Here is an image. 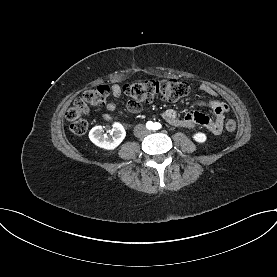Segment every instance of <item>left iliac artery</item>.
I'll list each match as a JSON object with an SVG mask.
<instances>
[{
    "label": "left iliac artery",
    "mask_w": 277,
    "mask_h": 277,
    "mask_svg": "<svg viewBox=\"0 0 277 277\" xmlns=\"http://www.w3.org/2000/svg\"><path fill=\"white\" fill-rule=\"evenodd\" d=\"M160 128H161V124L160 123H158V122L154 123L153 129L158 130Z\"/></svg>",
    "instance_id": "1"
}]
</instances>
